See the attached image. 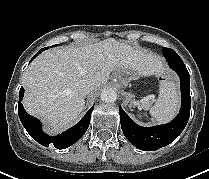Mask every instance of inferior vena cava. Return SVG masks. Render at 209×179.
<instances>
[{"label": "inferior vena cava", "mask_w": 209, "mask_h": 179, "mask_svg": "<svg viewBox=\"0 0 209 179\" xmlns=\"http://www.w3.org/2000/svg\"><path fill=\"white\" fill-rule=\"evenodd\" d=\"M94 89H95V85L91 83V84L86 85L83 91L85 94H88L92 92Z\"/></svg>", "instance_id": "inferior-vena-cava-1"}]
</instances>
